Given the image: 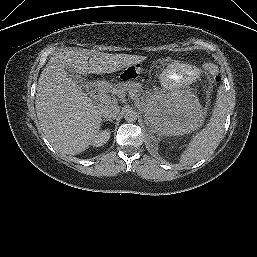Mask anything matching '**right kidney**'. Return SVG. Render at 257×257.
Instances as JSON below:
<instances>
[{"mask_svg":"<svg viewBox=\"0 0 257 257\" xmlns=\"http://www.w3.org/2000/svg\"><path fill=\"white\" fill-rule=\"evenodd\" d=\"M110 138V130H104L101 133L98 134L97 138L95 139L93 145L96 147H100L107 143V141Z\"/></svg>","mask_w":257,"mask_h":257,"instance_id":"1","label":"right kidney"}]
</instances>
